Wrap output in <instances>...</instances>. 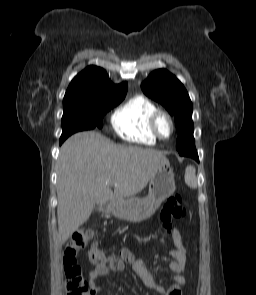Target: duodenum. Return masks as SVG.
<instances>
[{"mask_svg": "<svg viewBox=\"0 0 256 295\" xmlns=\"http://www.w3.org/2000/svg\"><path fill=\"white\" fill-rule=\"evenodd\" d=\"M115 202L110 199V200H107L106 202H104L102 205H101V210L102 212L104 213H111L114 208H115Z\"/></svg>", "mask_w": 256, "mask_h": 295, "instance_id": "duodenum-1", "label": "duodenum"}]
</instances>
